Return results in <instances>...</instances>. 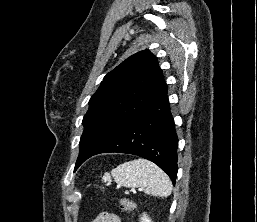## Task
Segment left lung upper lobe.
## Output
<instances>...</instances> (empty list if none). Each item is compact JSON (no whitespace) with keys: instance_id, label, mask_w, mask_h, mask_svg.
<instances>
[{"instance_id":"left-lung-upper-lobe-1","label":"left lung upper lobe","mask_w":257,"mask_h":222,"mask_svg":"<svg viewBox=\"0 0 257 222\" xmlns=\"http://www.w3.org/2000/svg\"><path fill=\"white\" fill-rule=\"evenodd\" d=\"M167 90L157 57L140 51L106 74L89 100L75 168Z\"/></svg>"}]
</instances>
